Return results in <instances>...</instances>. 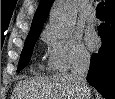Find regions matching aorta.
<instances>
[{
	"instance_id": "obj_1",
	"label": "aorta",
	"mask_w": 115,
	"mask_h": 99,
	"mask_svg": "<svg viewBox=\"0 0 115 99\" xmlns=\"http://www.w3.org/2000/svg\"><path fill=\"white\" fill-rule=\"evenodd\" d=\"M77 18L76 5L69 1H58L54 4L50 14V27L58 35H68Z\"/></svg>"
}]
</instances>
